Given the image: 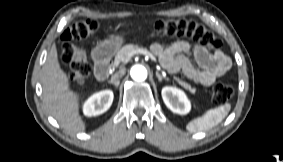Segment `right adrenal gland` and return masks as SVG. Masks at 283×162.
<instances>
[{
    "label": "right adrenal gland",
    "instance_id": "2a0ac1e0",
    "mask_svg": "<svg viewBox=\"0 0 283 162\" xmlns=\"http://www.w3.org/2000/svg\"><path fill=\"white\" fill-rule=\"evenodd\" d=\"M108 83H109V84H112V85H114L116 88H118L120 82L108 81Z\"/></svg>",
    "mask_w": 283,
    "mask_h": 162
}]
</instances>
